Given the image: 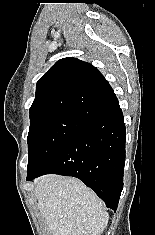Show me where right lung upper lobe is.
Returning <instances> with one entry per match:
<instances>
[{
  "instance_id": "1",
  "label": "right lung upper lobe",
  "mask_w": 155,
  "mask_h": 235,
  "mask_svg": "<svg viewBox=\"0 0 155 235\" xmlns=\"http://www.w3.org/2000/svg\"><path fill=\"white\" fill-rule=\"evenodd\" d=\"M107 82L92 65L76 58H63L41 77L30 114L43 110L71 113L87 122L97 120L88 100L87 91L96 84Z\"/></svg>"
}]
</instances>
